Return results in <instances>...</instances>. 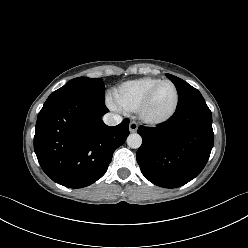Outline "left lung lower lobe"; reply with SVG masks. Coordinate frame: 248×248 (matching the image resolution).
I'll list each match as a JSON object with an SVG mask.
<instances>
[{
	"mask_svg": "<svg viewBox=\"0 0 248 248\" xmlns=\"http://www.w3.org/2000/svg\"><path fill=\"white\" fill-rule=\"evenodd\" d=\"M143 138L136 158L142 174L153 184L180 187L205 167L214 143L212 114L205 100L176 110L157 127L140 126Z\"/></svg>",
	"mask_w": 248,
	"mask_h": 248,
	"instance_id": "left-lung-lower-lobe-1",
	"label": "left lung lower lobe"
}]
</instances>
